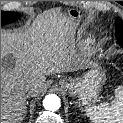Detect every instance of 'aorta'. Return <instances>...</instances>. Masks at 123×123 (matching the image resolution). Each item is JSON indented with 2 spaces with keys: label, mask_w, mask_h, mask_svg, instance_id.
I'll return each mask as SVG.
<instances>
[{
  "label": "aorta",
  "mask_w": 123,
  "mask_h": 123,
  "mask_svg": "<svg viewBox=\"0 0 123 123\" xmlns=\"http://www.w3.org/2000/svg\"><path fill=\"white\" fill-rule=\"evenodd\" d=\"M60 98L55 94L47 95L43 100V106L46 110L56 111L60 108Z\"/></svg>",
  "instance_id": "762f6f07"
}]
</instances>
